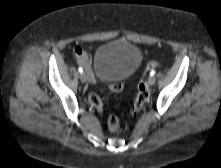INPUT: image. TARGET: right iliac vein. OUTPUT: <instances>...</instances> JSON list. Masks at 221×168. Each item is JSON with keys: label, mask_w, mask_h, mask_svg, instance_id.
Listing matches in <instances>:
<instances>
[{"label": "right iliac vein", "mask_w": 221, "mask_h": 168, "mask_svg": "<svg viewBox=\"0 0 221 168\" xmlns=\"http://www.w3.org/2000/svg\"><path fill=\"white\" fill-rule=\"evenodd\" d=\"M80 80H81V82L86 83L88 81L87 74L86 73H81L80 74Z\"/></svg>", "instance_id": "1"}]
</instances>
